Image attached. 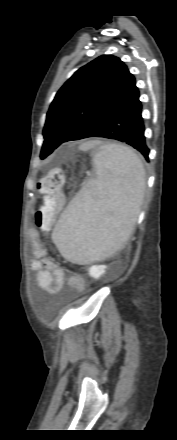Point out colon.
<instances>
[{"label":"colon","instance_id":"colon-1","mask_svg":"<svg viewBox=\"0 0 177 440\" xmlns=\"http://www.w3.org/2000/svg\"><path fill=\"white\" fill-rule=\"evenodd\" d=\"M64 172L61 168H52L39 185V190L44 198L43 205L35 216V224L40 229L48 228L54 216L60 211L63 204Z\"/></svg>","mask_w":177,"mask_h":440}]
</instances>
